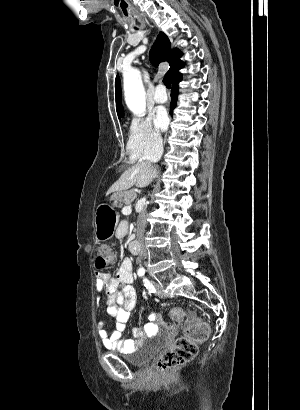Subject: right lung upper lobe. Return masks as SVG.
I'll use <instances>...</instances> for the list:
<instances>
[{
  "label": "right lung upper lobe",
  "instance_id": "1",
  "mask_svg": "<svg viewBox=\"0 0 300 410\" xmlns=\"http://www.w3.org/2000/svg\"><path fill=\"white\" fill-rule=\"evenodd\" d=\"M181 56L182 53L179 49L175 48L171 50L170 40L164 33L160 32L150 51V60L152 64L157 67L160 62L167 61L170 65V69L166 75L172 79L174 75L178 73V70L184 66L180 60ZM115 89L117 114L120 118L124 115V111L121 105V83L119 76L116 77Z\"/></svg>",
  "mask_w": 300,
  "mask_h": 410
}]
</instances>
